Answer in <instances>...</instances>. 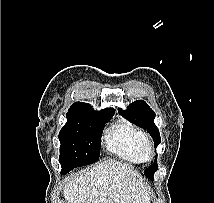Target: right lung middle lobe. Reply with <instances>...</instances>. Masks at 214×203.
<instances>
[{
  "mask_svg": "<svg viewBox=\"0 0 214 203\" xmlns=\"http://www.w3.org/2000/svg\"><path fill=\"white\" fill-rule=\"evenodd\" d=\"M112 116L87 110H68L67 122L59 132L62 174L92 164L99 158L103 125Z\"/></svg>",
  "mask_w": 214,
  "mask_h": 203,
  "instance_id": "obj_1",
  "label": "right lung middle lobe"
}]
</instances>
